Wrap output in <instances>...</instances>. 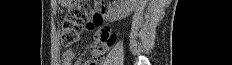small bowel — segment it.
<instances>
[{
  "label": "small bowel",
  "instance_id": "1",
  "mask_svg": "<svg viewBox=\"0 0 232 65\" xmlns=\"http://www.w3.org/2000/svg\"><path fill=\"white\" fill-rule=\"evenodd\" d=\"M86 29H97V35L101 38H107L112 35L111 29L104 24V17L102 13H95L91 19L86 23ZM75 57V51L73 48H67L63 53L62 65H72V61ZM83 65H104L103 62H86Z\"/></svg>",
  "mask_w": 232,
  "mask_h": 65
}]
</instances>
